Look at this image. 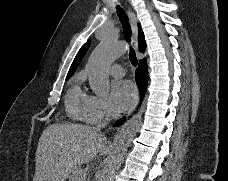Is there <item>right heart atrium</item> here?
Listing matches in <instances>:
<instances>
[{
	"label": "right heart atrium",
	"mask_w": 228,
	"mask_h": 181,
	"mask_svg": "<svg viewBox=\"0 0 228 181\" xmlns=\"http://www.w3.org/2000/svg\"><path fill=\"white\" fill-rule=\"evenodd\" d=\"M85 111V120L91 124H96L108 114V104L104 97L100 95L89 96Z\"/></svg>",
	"instance_id": "right-heart-atrium-1"
}]
</instances>
